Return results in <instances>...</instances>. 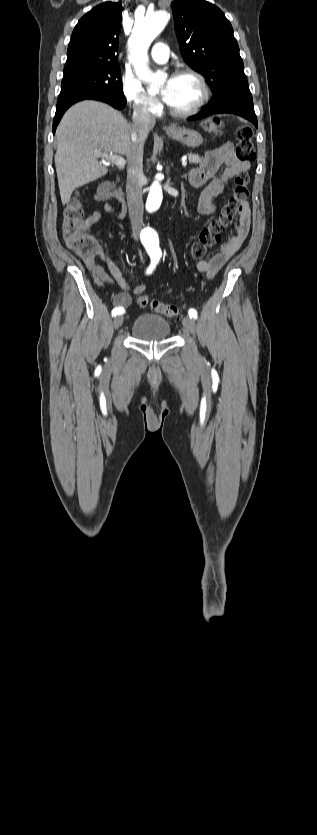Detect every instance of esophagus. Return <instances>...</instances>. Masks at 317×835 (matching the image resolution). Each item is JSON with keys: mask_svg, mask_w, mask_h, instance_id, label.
<instances>
[{"mask_svg": "<svg viewBox=\"0 0 317 835\" xmlns=\"http://www.w3.org/2000/svg\"><path fill=\"white\" fill-rule=\"evenodd\" d=\"M174 129H175V127H174V126H172V125H167V126L165 127V130H166V131H173Z\"/></svg>", "mask_w": 317, "mask_h": 835, "instance_id": "1", "label": "esophagus"}]
</instances>
